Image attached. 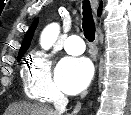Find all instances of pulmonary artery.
Returning a JSON list of instances; mask_svg holds the SVG:
<instances>
[{
    "label": "pulmonary artery",
    "mask_w": 131,
    "mask_h": 115,
    "mask_svg": "<svg viewBox=\"0 0 131 115\" xmlns=\"http://www.w3.org/2000/svg\"><path fill=\"white\" fill-rule=\"evenodd\" d=\"M65 50L68 54L79 55L85 50V45L82 38L78 35L69 36L64 44Z\"/></svg>",
    "instance_id": "e3ab8cb5"
}]
</instances>
